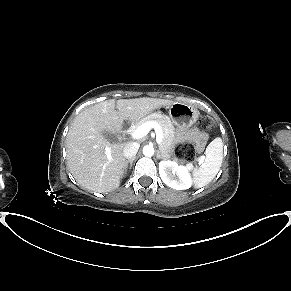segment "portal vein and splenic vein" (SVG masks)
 <instances>
[{"label": "portal vein and splenic vein", "mask_w": 291, "mask_h": 291, "mask_svg": "<svg viewBox=\"0 0 291 291\" xmlns=\"http://www.w3.org/2000/svg\"><path fill=\"white\" fill-rule=\"evenodd\" d=\"M151 129H154L155 130V133H156V142L158 144H161L162 143V140H163V131H162V128H161V126L158 123L153 122V121H148V122L143 123L141 126H139L135 131H133L131 133V136L135 140L141 139V138L145 137L149 133V131ZM198 161L200 163H202L203 159L202 158H198Z\"/></svg>", "instance_id": "1"}]
</instances>
